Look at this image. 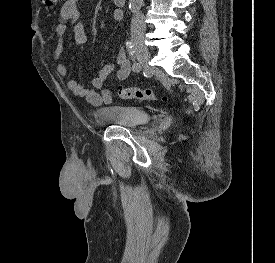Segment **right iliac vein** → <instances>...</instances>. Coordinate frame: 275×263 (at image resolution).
<instances>
[{
    "mask_svg": "<svg viewBox=\"0 0 275 263\" xmlns=\"http://www.w3.org/2000/svg\"><path fill=\"white\" fill-rule=\"evenodd\" d=\"M133 45L139 61L146 64L150 59V52L142 38H134Z\"/></svg>",
    "mask_w": 275,
    "mask_h": 263,
    "instance_id": "1",
    "label": "right iliac vein"
}]
</instances>
